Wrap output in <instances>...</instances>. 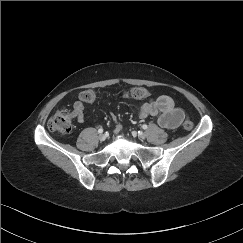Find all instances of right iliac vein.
<instances>
[{
	"mask_svg": "<svg viewBox=\"0 0 243 243\" xmlns=\"http://www.w3.org/2000/svg\"><path fill=\"white\" fill-rule=\"evenodd\" d=\"M98 138L100 141H104L106 139V136L104 134H100Z\"/></svg>",
	"mask_w": 243,
	"mask_h": 243,
	"instance_id": "63e3f726",
	"label": "right iliac vein"
}]
</instances>
